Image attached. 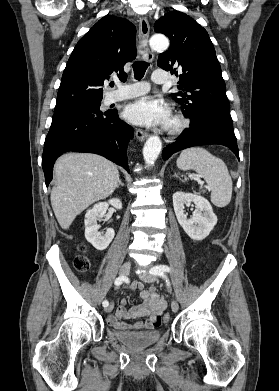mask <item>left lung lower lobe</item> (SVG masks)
Wrapping results in <instances>:
<instances>
[{
	"mask_svg": "<svg viewBox=\"0 0 279 391\" xmlns=\"http://www.w3.org/2000/svg\"><path fill=\"white\" fill-rule=\"evenodd\" d=\"M208 143L230 148L239 159L232 122L214 114H200L196 119H191L190 127L181 133L177 141L163 149L162 158L167 160L177 151Z\"/></svg>",
	"mask_w": 279,
	"mask_h": 391,
	"instance_id": "0a47b994",
	"label": "left lung lower lobe"
}]
</instances>
